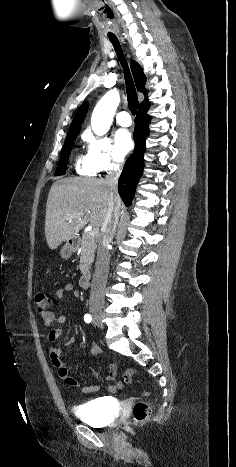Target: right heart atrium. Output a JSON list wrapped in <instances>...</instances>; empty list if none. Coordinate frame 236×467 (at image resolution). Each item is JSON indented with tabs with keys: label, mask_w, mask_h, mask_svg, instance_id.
I'll return each mask as SVG.
<instances>
[{
	"label": "right heart atrium",
	"mask_w": 236,
	"mask_h": 467,
	"mask_svg": "<svg viewBox=\"0 0 236 467\" xmlns=\"http://www.w3.org/2000/svg\"><path fill=\"white\" fill-rule=\"evenodd\" d=\"M84 141L87 145L86 162L94 172H109L121 165L122 158L109 138L87 133Z\"/></svg>",
	"instance_id": "obj_1"
}]
</instances>
